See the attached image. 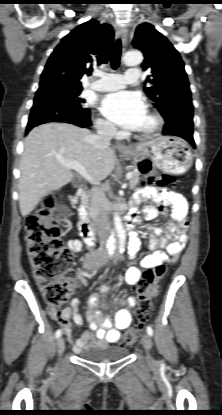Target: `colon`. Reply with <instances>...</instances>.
Instances as JSON below:
<instances>
[{
    "label": "colon",
    "mask_w": 222,
    "mask_h": 415,
    "mask_svg": "<svg viewBox=\"0 0 222 415\" xmlns=\"http://www.w3.org/2000/svg\"><path fill=\"white\" fill-rule=\"evenodd\" d=\"M141 170L147 176L149 186L176 185L174 177L161 174L148 164H142ZM55 206V195L49 194L43 198L40 208L26 219L25 240L29 263L42 296L50 306L59 308L68 300L74 289L71 272L74 260L72 252L63 245L58 221L53 217ZM164 274V266L142 273L137 283V322L125 332L123 345L133 344L141 334L153 308V300L157 294L156 286Z\"/></svg>",
    "instance_id": "obj_1"
}]
</instances>
